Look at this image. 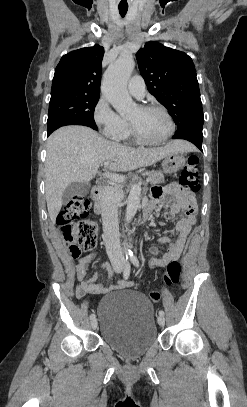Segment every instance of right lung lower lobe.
I'll list each match as a JSON object with an SVG mask.
<instances>
[{
    "mask_svg": "<svg viewBox=\"0 0 247 407\" xmlns=\"http://www.w3.org/2000/svg\"><path fill=\"white\" fill-rule=\"evenodd\" d=\"M69 125V124H68ZM62 126H64V125H62ZM59 127H61V126H59ZM59 127H57V128H59ZM57 128H54V129H51V130H48V136L54 131V130H56Z\"/></svg>",
    "mask_w": 247,
    "mask_h": 407,
    "instance_id": "98d812e1",
    "label": "right lung lower lobe"
}]
</instances>
